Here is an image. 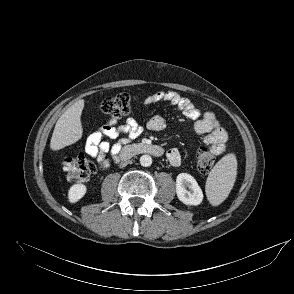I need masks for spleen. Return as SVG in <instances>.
I'll use <instances>...</instances> for the list:
<instances>
[{
	"label": "spleen",
	"instance_id": "3e777b00",
	"mask_svg": "<svg viewBox=\"0 0 294 294\" xmlns=\"http://www.w3.org/2000/svg\"><path fill=\"white\" fill-rule=\"evenodd\" d=\"M237 174V160L234 154L224 156L211 170L206 182L209 202L216 206L222 203L233 188Z\"/></svg>",
	"mask_w": 294,
	"mask_h": 294
}]
</instances>
